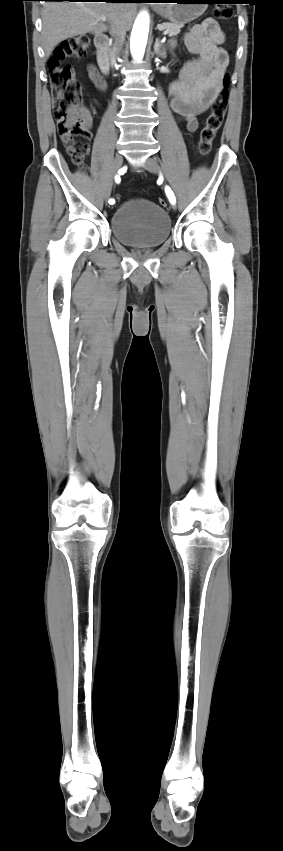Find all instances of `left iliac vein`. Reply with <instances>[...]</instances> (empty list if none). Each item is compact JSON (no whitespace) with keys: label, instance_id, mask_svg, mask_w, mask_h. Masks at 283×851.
Wrapping results in <instances>:
<instances>
[{"label":"left iliac vein","instance_id":"left-iliac-vein-1","mask_svg":"<svg viewBox=\"0 0 283 851\" xmlns=\"http://www.w3.org/2000/svg\"><path fill=\"white\" fill-rule=\"evenodd\" d=\"M144 168L151 173L157 174L160 172V166L156 159L147 158L143 164ZM172 209L175 210L176 206L172 204Z\"/></svg>","mask_w":283,"mask_h":851}]
</instances>
